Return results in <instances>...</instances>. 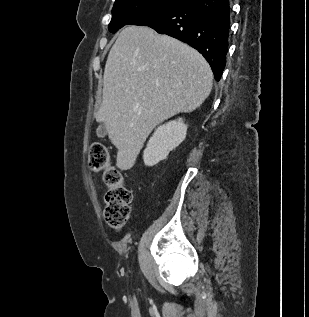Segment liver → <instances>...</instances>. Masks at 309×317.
Listing matches in <instances>:
<instances>
[{
  "label": "liver",
  "instance_id": "obj_1",
  "mask_svg": "<svg viewBox=\"0 0 309 317\" xmlns=\"http://www.w3.org/2000/svg\"><path fill=\"white\" fill-rule=\"evenodd\" d=\"M212 70L192 47L144 26H127L104 69L103 122L117 148V166L130 169L152 130L200 107L212 89Z\"/></svg>",
  "mask_w": 309,
  "mask_h": 317
}]
</instances>
